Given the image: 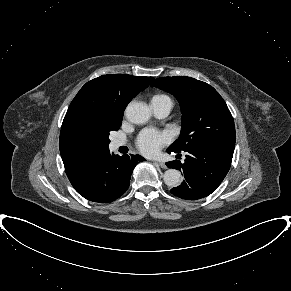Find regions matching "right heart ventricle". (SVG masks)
Masks as SVG:
<instances>
[{
  "label": "right heart ventricle",
  "instance_id": "obj_1",
  "mask_svg": "<svg viewBox=\"0 0 291 291\" xmlns=\"http://www.w3.org/2000/svg\"><path fill=\"white\" fill-rule=\"evenodd\" d=\"M153 99H170V98L164 94H158V95H155Z\"/></svg>",
  "mask_w": 291,
  "mask_h": 291
}]
</instances>
